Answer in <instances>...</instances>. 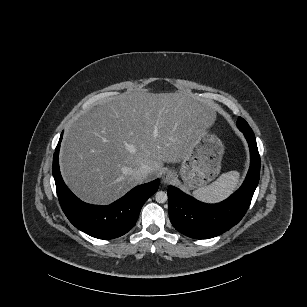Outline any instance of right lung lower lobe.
<instances>
[{
    "instance_id": "obj_1",
    "label": "right lung lower lobe",
    "mask_w": 307,
    "mask_h": 307,
    "mask_svg": "<svg viewBox=\"0 0 307 307\" xmlns=\"http://www.w3.org/2000/svg\"><path fill=\"white\" fill-rule=\"evenodd\" d=\"M61 140L62 134L53 156V176L60 205L69 221L99 239H113L127 233L135 225L143 204L157 191L159 179L133 188L107 206L84 203L68 189L61 177L58 162Z\"/></svg>"
}]
</instances>
